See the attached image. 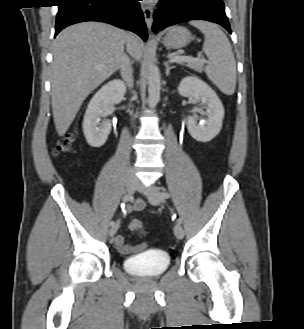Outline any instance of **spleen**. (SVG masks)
Wrapping results in <instances>:
<instances>
[{"instance_id": "spleen-1", "label": "spleen", "mask_w": 304, "mask_h": 329, "mask_svg": "<svg viewBox=\"0 0 304 329\" xmlns=\"http://www.w3.org/2000/svg\"><path fill=\"white\" fill-rule=\"evenodd\" d=\"M205 37L203 51L209 59L205 67L207 77L220 91L232 95L236 88V63L230 42L225 33L208 21H191Z\"/></svg>"}]
</instances>
